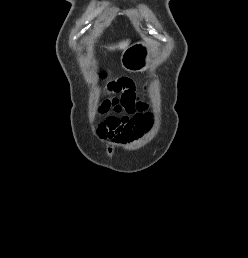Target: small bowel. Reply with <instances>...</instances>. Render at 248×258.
Returning <instances> with one entry per match:
<instances>
[{
    "label": "small bowel",
    "mask_w": 248,
    "mask_h": 258,
    "mask_svg": "<svg viewBox=\"0 0 248 258\" xmlns=\"http://www.w3.org/2000/svg\"><path fill=\"white\" fill-rule=\"evenodd\" d=\"M109 89L119 93L113 99L117 112L124 111L126 115L115 116L121 119L120 124L110 127L108 122L100 127L104 137L116 143L126 142L135 136L147 132L152 125V118L146 111V104L138 100L133 83L127 78H120L109 85Z\"/></svg>",
    "instance_id": "obj_1"
}]
</instances>
